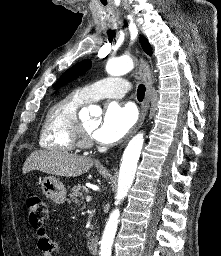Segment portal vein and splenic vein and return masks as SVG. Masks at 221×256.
<instances>
[{"instance_id":"portal-vein-and-splenic-vein-1","label":"portal vein and splenic vein","mask_w":221,"mask_h":256,"mask_svg":"<svg viewBox=\"0 0 221 256\" xmlns=\"http://www.w3.org/2000/svg\"><path fill=\"white\" fill-rule=\"evenodd\" d=\"M86 201H87V202H90V201H91V197H90V196H87V197H86Z\"/></svg>"}]
</instances>
